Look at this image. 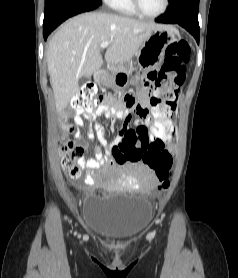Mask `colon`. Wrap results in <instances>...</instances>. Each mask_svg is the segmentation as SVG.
Returning <instances> with one entry per match:
<instances>
[{
	"instance_id": "obj_1",
	"label": "colon",
	"mask_w": 238,
	"mask_h": 278,
	"mask_svg": "<svg viewBox=\"0 0 238 278\" xmlns=\"http://www.w3.org/2000/svg\"><path fill=\"white\" fill-rule=\"evenodd\" d=\"M190 47L185 40L171 43L165 51V60L156 76V81H151L154 87L153 98H150L152 123L148 131L155 139L157 135H173V114L176 109L181 87L185 80V69L189 60ZM124 100H135L131 95H126ZM97 97V88L94 84L85 85L74 96L71 105L75 110L88 113L95 112L101 103ZM138 104V103H137ZM138 115V113H136ZM164 144H153L149 137H142V144L124 142L112 148L111 154L115 161L122 164L126 161L142 160L158 179V188L165 189L169 186L172 176V149H164ZM62 156L61 163L65 171L72 177L81 173V164L84 146L64 138L59 144Z\"/></svg>"
}]
</instances>
